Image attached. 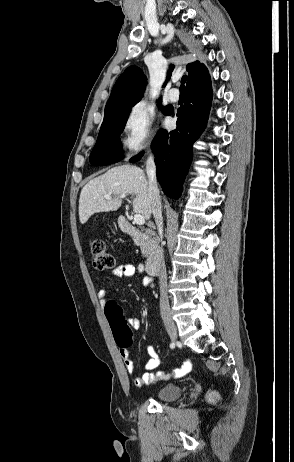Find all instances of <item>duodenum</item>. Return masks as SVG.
<instances>
[{
	"label": "duodenum",
	"instance_id": "obj_1",
	"mask_svg": "<svg viewBox=\"0 0 294 462\" xmlns=\"http://www.w3.org/2000/svg\"><path fill=\"white\" fill-rule=\"evenodd\" d=\"M118 220L122 232L130 235L138 241L147 243L150 246V255L147 259L146 270L150 276H156L161 268L164 251L155 239L154 229L148 228L146 231H141L131 225L124 216H120Z\"/></svg>",
	"mask_w": 294,
	"mask_h": 462
}]
</instances>
